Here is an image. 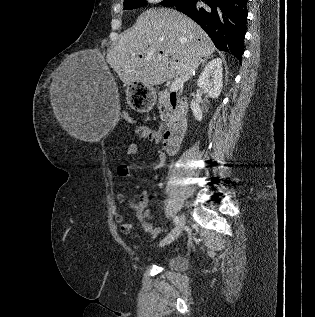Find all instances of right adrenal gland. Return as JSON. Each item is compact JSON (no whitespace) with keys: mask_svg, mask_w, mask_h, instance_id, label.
Listing matches in <instances>:
<instances>
[{"mask_svg":"<svg viewBox=\"0 0 315 317\" xmlns=\"http://www.w3.org/2000/svg\"><path fill=\"white\" fill-rule=\"evenodd\" d=\"M210 57H206V58H204L203 60H202V64H204L205 63V61L207 60V59H209Z\"/></svg>","mask_w":315,"mask_h":317,"instance_id":"obj_1","label":"right adrenal gland"}]
</instances>
